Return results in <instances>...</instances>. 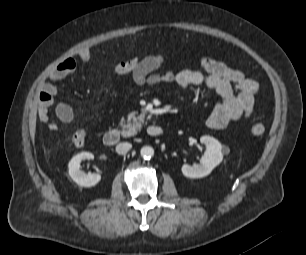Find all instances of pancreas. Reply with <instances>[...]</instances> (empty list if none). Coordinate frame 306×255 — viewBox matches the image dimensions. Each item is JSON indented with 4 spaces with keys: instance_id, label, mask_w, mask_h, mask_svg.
Listing matches in <instances>:
<instances>
[{
    "instance_id": "1",
    "label": "pancreas",
    "mask_w": 306,
    "mask_h": 255,
    "mask_svg": "<svg viewBox=\"0 0 306 255\" xmlns=\"http://www.w3.org/2000/svg\"><path fill=\"white\" fill-rule=\"evenodd\" d=\"M145 123L144 113L139 114L136 111L129 113L127 115V123L124 118L120 121V125L123 128L122 135L124 137L135 135Z\"/></svg>"
}]
</instances>
